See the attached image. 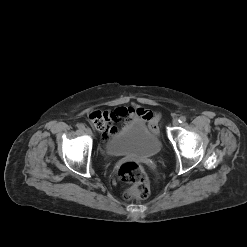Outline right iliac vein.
Masks as SVG:
<instances>
[{
  "instance_id": "63e3f726",
  "label": "right iliac vein",
  "mask_w": 247,
  "mask_h": 247,
  "mask_svg": "<svg viewBox=\"0 0 247 247\" xmlns=\"http://www.w3.org/2000/svg\"><path fill=\"white\" fill-rule=\"evenodd\" d=\"M85 132H86V134H88V135H91L92 134V130L90 129V128H85Z\"/></svg>"
}]
</instances>
